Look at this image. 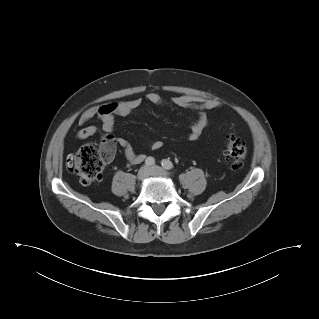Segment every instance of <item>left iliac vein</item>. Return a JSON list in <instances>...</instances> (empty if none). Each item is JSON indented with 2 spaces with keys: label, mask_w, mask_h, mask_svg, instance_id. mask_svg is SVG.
<instances>
[{
  "label": "left iliac vein",
  "mask_w": 319,
  "mask_h": 319,
  "mask_svg": "<svg viewBox=\"0 0 319 319\" xmlns=\"http://www.w3.org/2000/svg\"><path fill=\"white\" fill-rule=\"evenodd\" d=\"M150 174L152 176L169 177V173L159 166H152L150 168Z\"/></svg>",
  "instance_id": "4c4485c4"
}]
</instances>
